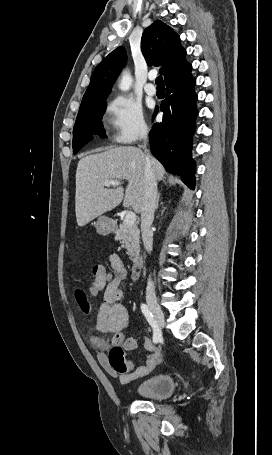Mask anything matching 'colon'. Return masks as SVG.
I'll use <instances>...</instances> for the list:
<instances>
[{
	"label": "colon",
	"instance_id": "colon-1",
	"mask_svg": "<svg viewBox=\"0 0 272 455\" xmlns=\"http://www.w3.org/2000/svg\"><path fill=\"white\" fill-rule=\"evenodd\" d=\"M91 271L92 280L90 291L91 293H98L105 288L111 277V273L101 264L94 265ZM109 362L110 365L118 371H124L126 369L125 350L121 345H113L109 352Z\"/></svg>",
	"mask_w": 272,
	"mask_h": 455
}]
</instances>
